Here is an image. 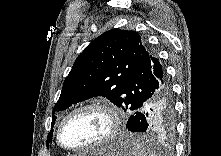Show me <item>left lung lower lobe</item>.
I'll list each match as a JSON object with an SVG mask.
<instances>
[{
	"label": "left lung lower lobe",
	"mask_w": 221,
	"mask_h": 156,
	"mask_svg": "<svg viewBox=\"0 0 221 156\" xmlns=\"http://www.w3.org/2000/svg\"><path fill=\"white\" fill-rule=\"evenodd\" d=\"M154 94L129 117L126 128L131 132L172 135L175 129L174 100L166 73L156 76Z\"/></svg>",
	"instance_id": "left-lung-lower-lobe-1"
}]
</instances>
